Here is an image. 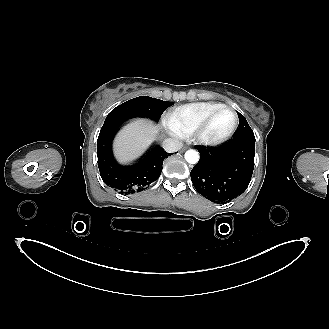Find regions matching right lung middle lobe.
I'll use <instances>...</instances> for the list:
<instances>
[{
    "label": "right lung middle lobe",
    "instance_id": "right-lung-middle-lobe-1",
    "mask_svg": "<svg viewBox=\"0 0 329 329\" xmlns=\"http://www.w3.org/2000/svg\"><path fill=\"white\" fill-rule=\"evenodd\" d=\"M169 106H171L170 102L148 96H140L113 109L107 115L105 122H124L133 117H147L158 121L164 110Z\"/></svg>",
    "mask_w": 329,
    "mask_h": 329
}]
</instances>
